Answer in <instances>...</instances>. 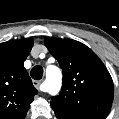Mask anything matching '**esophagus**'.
Wrapping results in <instances>:
<instances>
[{
    "instance_id": "obj_1",
    "label": "esophagus",
    "mask_w": 119,
    "mask_h": 119,
    "mask_svg": "<svg viewBox=\"0 0 119 119\" xmlns=\"http://www.w3.org/2000/svg\"><path fill=\"white\" fill-rule=\"evenodd\" d=\"M40 84H41V81H38V80H34V81H33V85H34L36 88H39Z\"/></svg>"
}]
</instances>
